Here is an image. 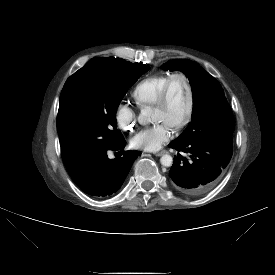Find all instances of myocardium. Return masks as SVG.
Masks as SVG:
<instances>
[{
	"instance_id": "myocardium-1",
	"label": "myocardium",
	"mask_w": 275,
	"mask_h": 275,
	"mask_svg": "<svg viewBox=\"0 0 275 275\" xmlns=\"http://www.w3.org/2000/svg\"><path fill=\"white\" fill-rule=\"evenodd\" d=\"M176 78H181L187 88L188 91V105L186 112L181 120H179L174 126V129H180L186 126L192 119L194 110H195V92L193 85L191 83L190 78L188 75L182 71H176L170 74L168 81L166 82L165 86L163 87L154 107L156 108H163L167 106L169 102L170 92L173 85V82Z\"/></svg>"
}]
</instances>
